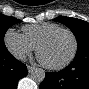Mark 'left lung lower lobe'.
Instances as JSON below:
<instances>
[{
	"instance_id": "0a47b994",
	"label": "left lung lower lobe",
	"mask_w": 89,
	"mask_h": 89,
	"mask_svg": "<svg viewBox=\"0 0 89 89\" xmlns=\"http://www.w3.org/2000/svg\"><path fill=\"white\" fill-rule=\"evenodd\" d=\"M40 89H89V50L77 53L65 69L45 73Z\"/></svg>"
}]
</instances>
